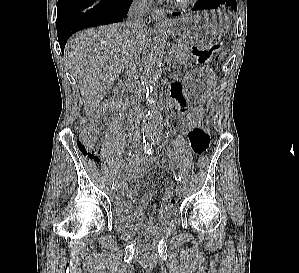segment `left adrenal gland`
<instances>
[{
  "instance_id": "1",
  "label": "left adrenal gland",
  "mask_w": 299,
  "mask_h": 273,
  "mask_svg": "<svg viewBox=\"0 0 299 273\" xmlns=\"http://www.w3.org/2000/svg\"><path fill=\"white\" fill-rule=\"evenodd\" d=\"M171 63H172V56L169 55L168 60H167V65L169 68L170 67L175 68V65L174 64L172 65Z\"/></svg>"
}]
</instances>
